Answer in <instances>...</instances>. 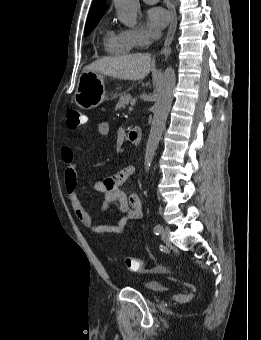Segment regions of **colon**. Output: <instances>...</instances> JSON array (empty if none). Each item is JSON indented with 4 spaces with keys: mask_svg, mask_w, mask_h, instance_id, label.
Segmentation results:
<instances>
[{
    "mask_svg": "<svg viewBox=\"0 0 261 340\" xmlns=\"http://www.w3.org/2000/svg\"><path fill=\"white\" fill-rule=\"evenodd\" d=\"M66 122L69 129L75 130L86 122V117L77 107L71 106L67 110ZM123 263L127 269L132 271H137L142 267V260L137 257L125 256Z\"/></svg>",
    "mask_w": 261,
    "mask_h": 340,
    "instance_id": "obj_1",
    "label": "colon"
}]
</instances>
